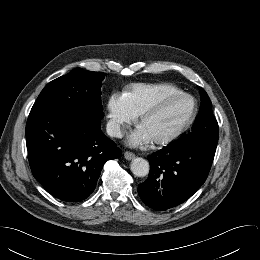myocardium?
Wrapping results in <instances>:
<instances>
[{
  "mask_svg": "<svg viewBox=\"0 0 260 260\" xmlns=\"http://www.w3.org/2000/svg\"><path fill=\"white\" fill-rule=\"evenodd\" d=\"M177 97H184L191 101V109L184 119V121L173 131L160 136L156 138H152V142L157 145H165L168 143L173 142L174 140L178 139L192 124V122L195 119V116L198 111V105L196 99L183 91H178L175 93H171L168 95H165L161 98H159L157 101H155L151 106H149L147 109H145L139 116V124L141 125L148 117L156 114L162 106H164L166 103H168L170 100L177 98Z\"/></svg>",
  "mask_w": 260,
  "mask_h": 260,
  "instance_id": "myocardium-1",
  "label": "myocardium"
}]
</instances>
